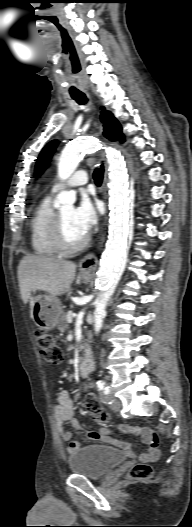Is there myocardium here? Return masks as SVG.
Here are the masks:
<instances>
[{
    "label": "myocardium",
    "instance_id": "1",
    "mask_svg": "<svg viewBox=\"0 0 192 527\" xmlns=\"http://www.w3.org/2000/svg\"><path fill=\"white\" fill-rule=\"evenodd\" d=\"M53 238H54V242L58 250L65 254H72V253L79 252L82 249H84L89 242V236L86 235L77 244H69L65 239L63 223H62V219H61L59 212L55 214Z\"/></svg>",
    "mask_w": 192,
    "mask_h": 527
}]
</instances>
